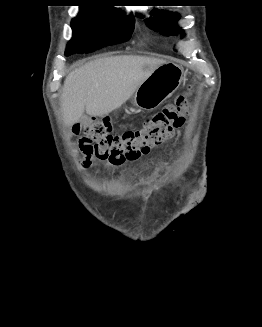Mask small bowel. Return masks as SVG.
I'll return each mask as SVG.
<instances>
[{
  "label": "small bowel",
  "mask_w": 262,
  "mask_h": 327,
  "mask_svg": "<svg viewBox=\"0 0 262 327\" xmlns=\"http://www.w3.org/2000/svg\"><path fill=\"white\" fill-rule=\"evenodd\" d=\"M72 133L75 134V135H78L81 131V124L77 123V124H74L72 126V129H71ZM85 155V154H84ZM91 159L92 157L91 156H86L85 155V159L81 162V166L83 168H87L91 165Z\"/></svg>",
  "instance_id": "c3829d8e"
}]
</instances>
